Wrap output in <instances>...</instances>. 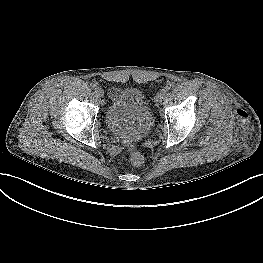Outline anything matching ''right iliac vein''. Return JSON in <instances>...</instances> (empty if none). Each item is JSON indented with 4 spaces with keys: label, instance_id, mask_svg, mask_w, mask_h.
Segmentation results:
<instances>
[{
    "label": "right iliac vein",
    "instance_id": "obj_1",
    "mask_svg": "<svg viewBox=\"0 0 263 263\" xmlns=\"http://www.w3.org/2000/svg\"><path fill=\"white\" fill-rule=\"evenodd\" d=\"M96 95L98 97H102L103 96V90L101 88L99 90H96Z\"/></svg>",
    "mask_w": 263,
    "mask_h": 263
}]
</instances>
